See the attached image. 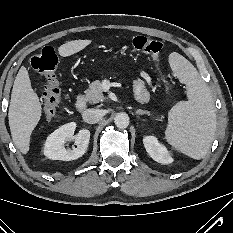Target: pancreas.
<instances>
[{"label": "pancreas", "instance_id": "cf45deb5", "mask_svg": "<svg viewBox=\"0 0 233 233\" xmlns=\"http://www.w3.org/2000/svg\"><path fill=\"white\" fill-rule=\"evenodd\" d=\"M103 81L95 80L89 84V88L85 91V100L89 103H99L104 100ZM133 92L136 101L141 104L147 103L150 99V94L145 87V83L141 79L133 80Z\"/></svg>", "mask_w": 233, "mask_h": 233}]
</instances>
